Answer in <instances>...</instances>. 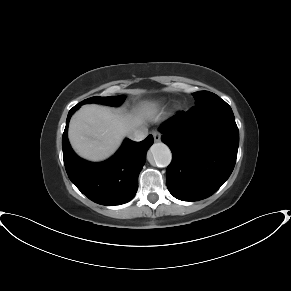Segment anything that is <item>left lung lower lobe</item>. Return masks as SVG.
Here are the masks:
<instances>
[{"mask_svg": "<svg viewBox=\"0 0 291 291\" xmlns=\"http://www.w3.org/2000/svg\"><path fill=\"white\" fill-rule=\"evenodd\" d=\"M159 131L172 152L166 184L175 198L205 199L229 178L237 157L239 131L231 107L221 98L177 112Z\"/></svg>", "mask_w": 291, "mask_h": 291, "instance_id": "1", "label": "left lung lower lobe"}]
</instances>
